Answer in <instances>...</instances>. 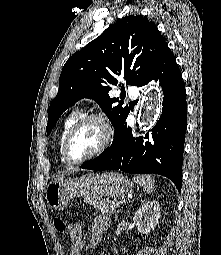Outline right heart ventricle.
I'll use <instances>...</instances> for the list:
<instances>
[{
	"instance_id": "e07e8e85",
	"label": "right heart ventricle",
	"mask_w": 221,
	"mask_h": 255,
	"mask_svg": "<svg viewBox=\"0 0 221 255\" xmlns=\"http://www.w3.org/2000/svg\"><path fill=\"white\" fill-rule=\"evenodd\" d=\"M80 118V113L79 111H74L72 112L69 116H67L65 118V120L62 123L60 132H59V136H58V152H59V156H60V160L62 162V164L64 165H70L68 164L62 154V148H63V142L64 139L66 137L67 132L69 131V129L72 127V125Z\"/></svg>"
}]
</instances>
